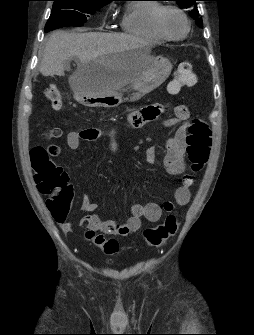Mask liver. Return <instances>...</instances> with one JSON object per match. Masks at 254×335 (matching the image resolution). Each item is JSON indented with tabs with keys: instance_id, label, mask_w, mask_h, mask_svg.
<instances>
[{
	"instance_id": "obj_1",
	"label": "liver",
	"mask_w": 254,
	"mask_h": 335,
	"mask_svg": "<svg viewBox=\"0 0 254 335\" xmlns=\"http://www.w3.org/2000/svg\"><path fill=\"white\" fill-rule=\"evenodd\" d=\"M142 41L134 36L122 33H74L57 30L47 39L40 64V73L44 76H64L71 59L79 63L70 77L73 91L78 84L93 82L105 92L118 91L149 68V61L143 60L128 66H118L94 74L87 65L100 58L121 53L141 46Z\"/></svg>"
}]
</instances>
